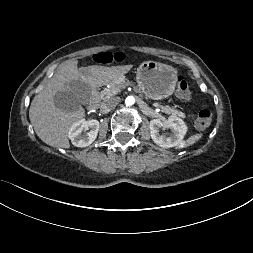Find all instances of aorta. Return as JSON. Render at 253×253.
Masks as SVG:
<instances>
[{
	"label": "aorta",
	"instance_id": "aorta-1",
	"mask_svg": "<svg viewBox=\"0 0 253 253\" xmlns=\"http://www.w3.org/2000/svg\"><path fill=\"white\" fill-rule=\"evenodd\" d=\"M127 106H131L135 103V98L133 96H128L125 100Z\"/></svg>",
	"mask_w": 253,
	"mask_h": 253
}]
</instances>
